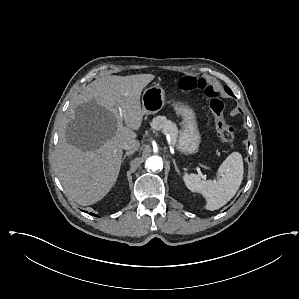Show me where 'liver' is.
Returning <instances> with one entry per match:
<instances>
[{
	"label": "liver",
	"mask_w": 299,
	"mask_h": 299,
	"mask_svg": "<svg viewBox=\"0 0 299 299\" xmlns=\"http://www.w3.org/2000/svg\"><path fill=\"white\" fill-rule=\"evenodd\" d=\"M154 78L152 74L104 76L88 84L72 102L57 145L56 168L65 192L79 205L100 201L115 184L122 143L137 136L134 130L140 128L144 115L141 92Z\"/></svg>",
	"instance_id": "liver-1"
}]
</instances>
